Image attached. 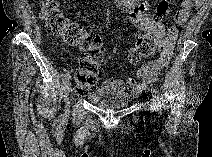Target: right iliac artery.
<instances>
[{"label":"right iliac artery","mask_w":212,"mask_h":157,"mask_svg":"<svg viewBox=\"0 0 212 157\" xmlns=\"http://www.w3.org/2000/svg\"><path fill=\"white\" fill-rule=\"evenodd\" d=\"M70 77H71L70 74H69V73H66V74L63 76V81H64V82L69 81Z\"/></svg>","instance_id":"1"}]
</instances>
